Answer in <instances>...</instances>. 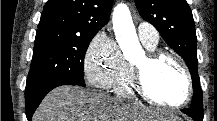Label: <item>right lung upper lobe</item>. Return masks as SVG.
<instances>
[{
    "mask_svg": "<svg viewBox=\"0 0 217 121\" xmlns=\"http://www.w3.org/2000/svg\"><path fill=\"white\" fill-rule=\"evenodd\" d=\"M112 4L113 0H48L38 29L96 34L108 23Z\"/></svg>",
    "mask_w": 217,
    "mask_h": 121,
    "instance_id": "right-lung-upper-lobe-1",
    "label": "right lung upper lobe"
}]
</instances>
